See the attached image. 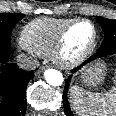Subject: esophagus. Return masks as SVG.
<instances>
[{
  "label": "esophagus",
  "mask_w": 116,
  "mask_h": 116,
  "mask_svg": "<svg viewBox=\"0 0 116 116\" xmlns=\"http://www.w3.org/2000/svg\"><path fill=\"white\" fill-rule=\"evenodd\" d=\"M47 67H48V66H41V67L38 69L37 73H38V74L42 73Z\"/></svg>",
  "instance_id": "34e87169"
}]
</instances>
